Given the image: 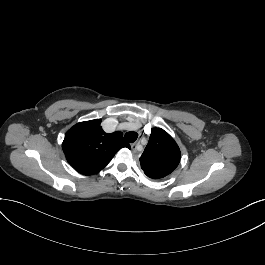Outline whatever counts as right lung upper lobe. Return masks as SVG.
Listing matches in <instances>:
<instances>
[{"label":"right lung upper lobe","instance_id":"obj_1","mask_svg":"<svg viewBox=\"0 0 265 265\" xmlns=\"http://www.w3.org/2000/svg\"><path fill=\"white\" fill-rule=\"evenodd\" d=\"M101 119L80 122L66 134L62 144L69 164L83 175L102 170L123 147L130 148L122 132L105 133Z\"/></svg>","mask_w":265,"mask_h":265}]
</instances>
